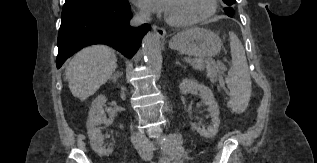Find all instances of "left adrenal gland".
<instances>
[{
    "label": "left adrenal gland",
    "instance_id": "obj_1",
    "mask_svg": "<svg viewBox=\"0 0 317 163\" xmlns=\"http://www.w3.org/2000/svg\"><path fill=\"white\" fill-rule=\"evenodd\" d=\"M176 64H180L179 61H176Z\"/></svg>",
    "mask_w": 317,
    "mask_h": 163
}]
</instances>
